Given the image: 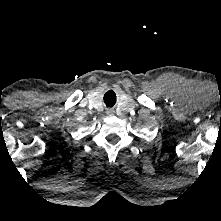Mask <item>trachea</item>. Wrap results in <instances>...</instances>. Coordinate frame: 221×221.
<instances>
[{"label":"trachea","mask_w":221,"mask_h":221,"mask_svg":"<svg viewBox=\"0 0 221 221\" xmlns=\"http://www.w3.org/2000/svg\"><path fill=\"white\" fill-rule=\"evenodd\" d=\"M109 93H111V92H108V93L105 94L104 101H105L107 106H112L114 103H112L111 98L108 96Z\"/></svg>","instance_id":"3493384b"}]
</instances>
